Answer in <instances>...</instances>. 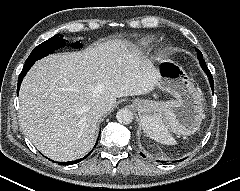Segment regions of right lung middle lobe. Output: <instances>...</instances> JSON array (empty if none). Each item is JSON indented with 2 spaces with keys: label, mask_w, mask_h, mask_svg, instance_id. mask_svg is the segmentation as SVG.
<instances>
[{
  "label": "right lung middle lobe",
  "mask_w": 240,
  "mask_h": 191,
  "mask_svg": "<svg viewBox=\"0 0 240 191\" xmlns=\"http://www.w3.org/2000/svg\"><path fill=\"white\" fill-rule=\"evenodd\" d=\"M65 40L63 39V35H55L47 41L38 45L30 54L25 64L35 63V61L52 54L55 50L63 47L65 45ZM73 48H81L82 45L77 42L72 44Z\"/></svg>",
  "instance_id": "1"
}]
</instances>
